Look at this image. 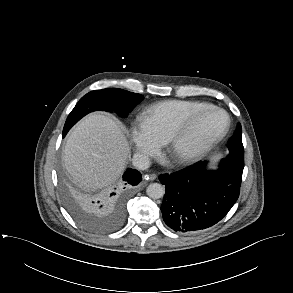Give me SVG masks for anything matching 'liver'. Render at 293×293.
Listing matches in <instances>:
<instances>
[{"label":"liver","instance_id":"1","mask_svg":"<svg viewBox=\"0 0 293 293\" xmlns=\"http://www.w3.org/2000/svg\"><path fill=\"white\" fill-rule=\"evenodd\" d=\"M129 154L124 127L109 116L95 113L82 119L70 133L63 161L74 183L96 190L120 177Z\"/></svg>","mask_w":293,"mask_h":293}]
</instances>
